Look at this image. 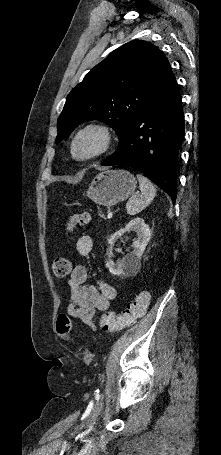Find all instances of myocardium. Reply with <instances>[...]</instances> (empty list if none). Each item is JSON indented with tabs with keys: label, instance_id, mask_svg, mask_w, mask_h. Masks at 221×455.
Listing matches in <instances>:
<instances>
[{
	"label": "myocardium",
	"instance_id": "f54148a6",
	"mask_svg": "<svg viewBox=\"0 0 221 455\" xmlns=\"http://www.w3.org/2000/svg\"><path fill=\"white\" fill-rule=\"evenodd\" d=\"M88 135H94L95 137H97L99 140V145L94 152H92L86 156H79L76 153L77 144L83 137L88 136ZM112 143H113V135H112L111 128L108 125L103 124V123L91 122V123H87L84 126H82L81 128H79L77 130V132L75 133L74 137L72 138L71 145H70L71 153H72V156L76 160L87 161V160L97 158V157L103 155L104 153H106L112 146Z\"/></svg>",
	"mask_w": 221,
	"mask_h": 455
}]
</instances>
